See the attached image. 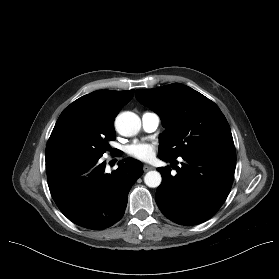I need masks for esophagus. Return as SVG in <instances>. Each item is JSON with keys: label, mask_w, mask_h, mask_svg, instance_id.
<instances>
[{"label": "esophagus", "mask_w": 279, "mask_h": 279, "mask_svg": "<svg viewBox=\"0 0 279 279\" xmlns=\"http://www.w3.org/2000/svg\"><path fill=\"white\" fill-rule=\"evenodd\" d=\"M152 169H153L152 166H149V165H144V166H143V171H144V172H148V171H150V170H152Z\"/></svg>", "instance_id": "obj_1"}]
</instances>
